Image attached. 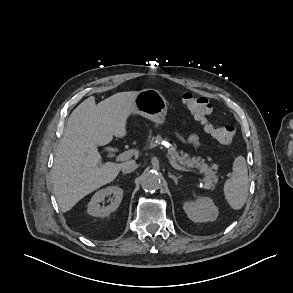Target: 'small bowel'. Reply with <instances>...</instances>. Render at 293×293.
Masks as SVG:
<instances>
[{"instance_id": "small-bowel-1", "label": "small bowel", "mask_w": 293, "mask_h": 293, "mask_svg": "<svg viewBox=\"0 0 293 293\" xmlns=\"http://www.w3.org/2000/svg\"><path fill=\"white\" fill-rule=\"evenodd\" d=\"M179 138L181 140H183L184 142L194 145V146H200L201 145V141L200 138L197 134H191L188 137H183V136H179Z\"/></svg>"}]
</instances>
